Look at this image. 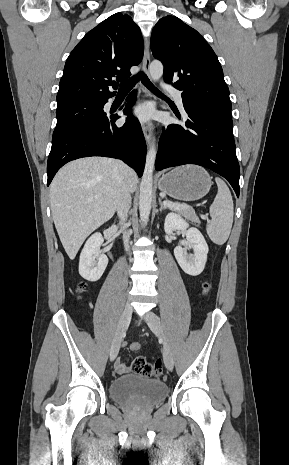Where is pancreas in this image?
Instances as JSON below:
<instances>
[{"label": "pancreas", "instance_id": "1", "mask_svg": "<svg viewBox=\"0 0 289 465\" xmlns=\"http://www.w3.org/2000/svg\"><path fill=\"white\" fill-rule=\"evenodd\" d=\"M171 209L177 211L178 213H180L182 216H184L187 220H190L191 222H194V223L200 222L195 211L190 206H187L186 208H182V209H176L174 207H171Z\"/></svg>", "mask_w": 289, "mask_h": 465}]
</instances>
